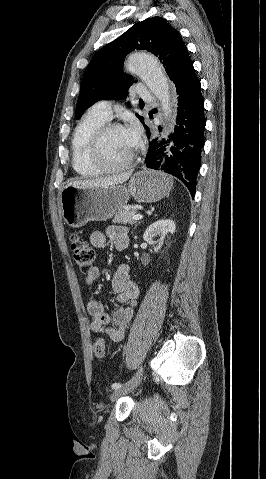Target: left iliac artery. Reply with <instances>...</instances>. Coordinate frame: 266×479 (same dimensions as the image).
I'll list each match as a JSON object with an SVG mask.
<instances>
[{
	"label": "left iliac artery",
	"mask_w": 266,
	"mask_h": 479,
	"mask_svg": "<svg viewBox=\"0 0 266 479\" xmlns=\"http://www.w3.org/2000/svg\"><path fill=\"white\" fill-rule=\"evenodd\" d=\"M121 387H122V384H121V383H113V384H112V389H114V390H117V389H119V388H121Z\"/></svg>",
	"instance_id": "left-iliac-artery-1"
}]
</instances>
